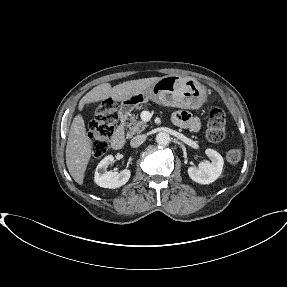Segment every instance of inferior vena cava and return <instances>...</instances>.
I'll list each match as a JSON object with an SVG mask.
<instances>
[{
  "instance_id": "1",
  "label": "inferior vena cava",
  "mask_w": 287,
  "mask_h": 287,
  "mask_svg": "<svg viewBox=\"0 0 287 287\" xmlns=\"http://www.w3.org/2000/svg\"><path fill=\"white\" fill-rule=\"evenodd\" d=\"M145 140H146V135H144V134L137 135L131 139L130 145H131V147L136 148V147H139L140 145H142Z\"/></svg>"
}]
</instances>
